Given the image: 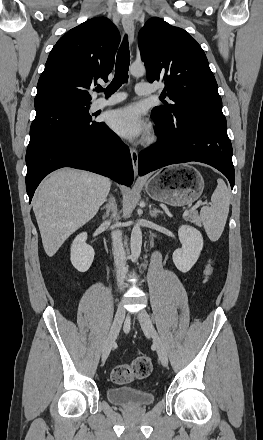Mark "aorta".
<instances>
[{"mask_svg": "<svg viewBox=\"0 0 263 440\" xmlns=\"http://www.w3.org/2000/svg\"><path fill=\"white\" fill-rule=\"evenodd\" d=\"M129 71L131 75L135 77H141L145 74V66L142 63H133ZM130 247H131V256L133 261H137L140 253H141V247H142V232L141 228L138 224H135L133 226L132 232H131V240H130Z\"/></svg>", "mask_w": 263, "mask_h": 440, "instance_id": "obj_1", "label": "aorta"}]
</instances>
